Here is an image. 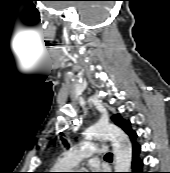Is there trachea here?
Instances as JSON below:
<instances>
[{
  "label": "trachea",
  "instance_id": "1",
  "mask_svg": "<svg viewBox=\"0 0 170 173\" xmlns=\"http://www.w3.org/2000/svg\"><path fill=\"white\" fill-rule=\"evenodd\" d=\"M112 156H113L112 153H108V154L105 155L106 158H111Z\"/></svg>",
  "mask_w": 170,
  "mask_h": 173
}]
</instances>
